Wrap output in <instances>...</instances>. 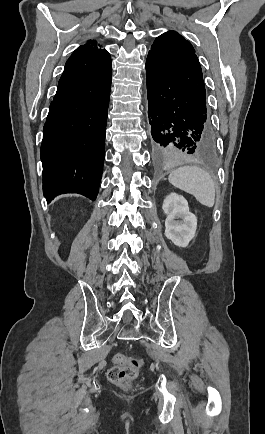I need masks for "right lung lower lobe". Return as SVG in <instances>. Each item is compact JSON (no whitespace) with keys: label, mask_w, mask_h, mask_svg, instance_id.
I'll return each instance as SVG.
<instances>
[{"label":"right lung lower lobe","mask_w":265,"mask_h":434,"mask_svg":"<svg viewBox=\"0 0 265 434\" xmlns=\"http://www.w3.org/2000/svg\"><path fill=\"white\" fill-rule=\"evenodd\" d=\"M111 71L109 53L92 44L79 46L65 64L43 128V192L48 202L63 193L96 199Z\"/></svg>","instance_id":"98d812e1"}]
</instances>
